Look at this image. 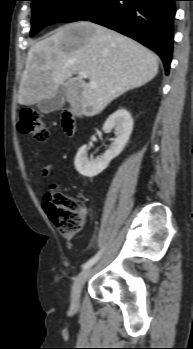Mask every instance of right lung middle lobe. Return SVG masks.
<instances>
[{
	"instance_id": "1",
	"label": "right lung middle lobe",
	"mask_w": 193,
	"mask_h": 349,
	"mask_svg": "<svg viewBox=\"0 0 193 349\" xmlns=\"http://www.w3.org/2000/svg\"><path fill=\"white\" fill-rule=\"evenodd\" d=\"M32 29L35 35L43 27L57 22L81 20L91 12L101 0H31Z\"/></svg>"
}]
</instances>
